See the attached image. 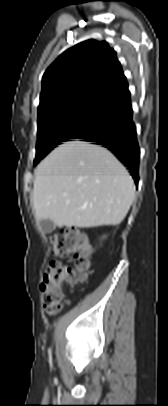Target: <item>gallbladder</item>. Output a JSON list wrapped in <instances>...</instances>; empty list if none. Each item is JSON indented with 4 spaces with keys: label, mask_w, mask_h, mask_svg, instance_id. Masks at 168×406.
Masks as SVG:
<instances>
[{
    "label": "gallbladder",
    "mask_w": 168,
    "mask_h": 406,
    "mask_svg": "<svg viewBox=\"0 0 168 406\" xmlns=\"http://www.w3.org/2000/svg\"><path fill=\"white\" fill-rule=\"evenodd\" d=\"M40 226L42 231L45 233H51L55 229L54 223L48 219L41 220Z\"/></svg>",
    "instance_id": "gallbladder-1"
}]
</instances>
